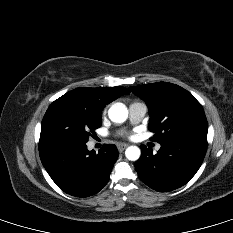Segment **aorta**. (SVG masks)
I'll list each match as a JSON object with an SVG mask.
<instances>
[{
  "label": "aorta",
  "instance_id": "762f6f07",
  "mask_svg": "<svg viewBox=\"0 0 233 233\" xmlns=\"http://www.w3.org/2000/svg\"><path fill=\"white\" fill-rule=\"evenodd\" d=\"M108 116L115 123H123L128 117V110L124 104L115 103L109 108ZM140 154L141 151L137 146H130L125 151L126 158L131 161L138 160Z\"/></svg>",
  "mask_w": 233,
  "mask_h": 233
}]
</instances>
